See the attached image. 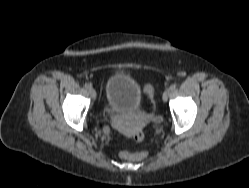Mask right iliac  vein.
<instances>
[{
  "label": "right iliac vein",
  "instance_id": "right-iliac-vein-1",
  "mask_svg": "<svg viewBox=\"0 0 249 188\" xmlns=\"http://www.w3.org/2000/svg\"><path fill=\"white\" fill-rule=\"evenodd\" d=\"M89 93L92 99L96 98V91L94 90L93 87L89 88Z\"/></svg>",
  "mask_w": 249,
  "mask_h": 188
}]
</instances>
